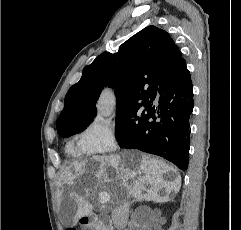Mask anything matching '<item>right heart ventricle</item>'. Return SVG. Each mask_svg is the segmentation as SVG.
<instances>
[{"label": "right heart ventricle", "mask_w": 241, "mask_h": 230, "mask_svg": "<svg viewBox=\"0 0 241 230\" xmlns=\"http://www.w3.org/2000/svg\"><path fill=\"white\" fill-rule=\"evenodd\" d=\"M67 151L73 155H81L83 153H86L80 146V144L78 143V145L76 147H74L72 144H69L67 146Z\"/></svg>", "instance_id": "e07e8e85"}]
</instances>
